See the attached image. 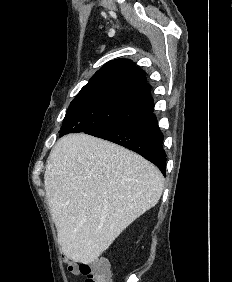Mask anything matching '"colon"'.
Listing matches in <instances>:
<instances>
[{"mask_svg": "<svg viewBox=\"0 0 232 282\" xmlns=\"http://www.w3.org/2000/svg\"><path fill=\"white\" fill-rule=\"evenodd\" d=\"M69 270L85 276V282H112L110 263L105 258L79 264L70 263Z\"/></svg>", "mask_w": 232, "mask_h": 282, "instance_id": "obj_1", "label": "colon"}]
</instances>
